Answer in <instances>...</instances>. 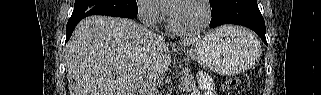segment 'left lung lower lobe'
<instances>
[{
	"label": "left lung lower lobe",
	"instance_id": "0a47b994",
	"mask_svg": "<svg viewBox=\"0 0 321 95\" xmlns=\"http://www.w3.org/2000/svg\"><path fill=\"white\" fill-rule=\"evenodd\" d=\"M212 28L223 24H238L255 31L267 45L265 23L256 0H219L212 5Z\"/></svg>",
	"mask_w": 321,
	"mask_h": 95
}]
</instances>
